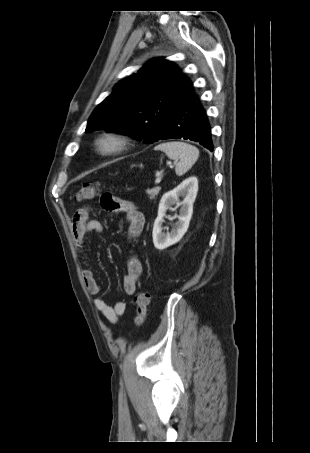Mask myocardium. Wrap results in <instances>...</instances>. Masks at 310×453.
Masks as SVG:
<instances>
[{
	"label": "myocardium",
	"instance_id": "myocardium-1",
	"mask_svg": "<svg viewBox=\"0 0 310 453\" xmlns=\"http://www.w3.org/2000/svg\"><path fill=\"white\" fill-rule=\"evenodd\" d=\"M130 139L118 131H105L94 141V148L101 156H111L127 150Z\"/></svg>",
	"mask_w": 310,
	"mask_h": 453
}]
</instances>
